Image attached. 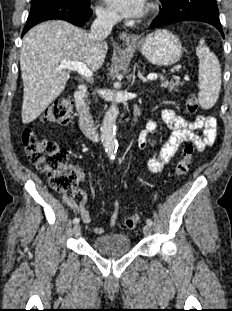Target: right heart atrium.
<instances>
[{"label": "right heart atrium", "mask_w": 232, "mask_h": 311, "mask_svg": "<svg viewBox=\"0 0 232 311\" xmlns=\"http://www.w3.org/2000/svg\"><path fill=\"white\" fill-rule=\"evenodd\" d=\"M97 18L105 24H112L116 20L115 13L109 8L98 6L96 9Z\"/></svg>", "instance_id": "d8ad5b80"}]
</instances>
